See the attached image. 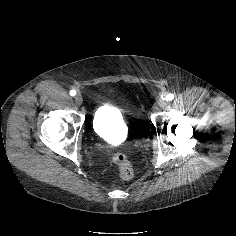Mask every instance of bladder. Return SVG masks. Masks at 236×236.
<instances>
[{"mask_svg": "<svg viewBox=\"0 0 236 236\" xmlns=\"http://www.w3.org/2000/svg\"><path fill=\"white\" fill-rule=\"evenodd\" d=\"M92 125L94 133L105 140L119 138L127 130V124L121 111L109 103L97 107Z\"/></svg>", "mask_w": 236, "mask_h": 236, "instance_id": "31cf9c89", "label": "bladder"}]
</instances>
